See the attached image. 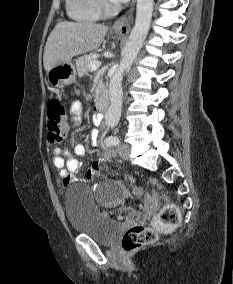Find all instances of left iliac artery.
Returning a JSON list of instances; mask_svg holds the SVG:
<instances>
[{
  "label": "left iliac artery",
  "instance_id": "44dca946",
  "mask_svg": "<svg viewBox=\"0 0 233 284\" xmlns=\"http://www.w3.org/2000/svg\"><path fill=\"white\" fill-rule=\"evenodd\" d=\"M119 143V139L115 136H109L105 139L106 146H116Z\"/></svg>",
  "mask_w": 233,
  "mask_h": 284
}]
</instances>
